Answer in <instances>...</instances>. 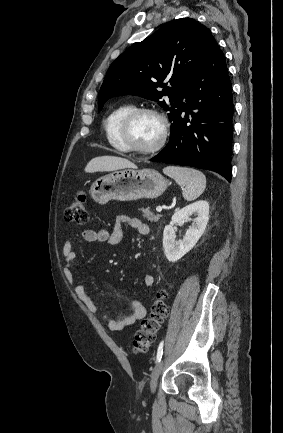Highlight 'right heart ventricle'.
<instances>
[{"label": "right heart ventricle", "mask_w": 283, "mask_h": 433, "mask_svg": "<svg viewBox=\"0 0 283 433\" xmlns=\"http://www.w3.org/2000/svg\"><path fill=\"white\" fill-rule=\"evenodd\" d=\"M133 106L123 104L112 110L104 120V132L109 144L118 152L125 153L127 150L121 144L118 132L122 118L128 113Z\"/></svg>", "instance_id": "obj_1"}]
</instances>
